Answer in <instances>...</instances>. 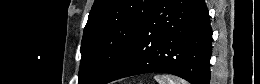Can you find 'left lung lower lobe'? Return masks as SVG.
I'll return each mask as SVG.
<instances>
[{"label":"left lung lower lobe","instance_id":"0a47b994","mask_svg":"<svg viewBox=\"0 0 260 84\" xmlns=\"http://www.w3.org/2000/svg\"><path fill=\"white\" fill-rule=\"evenodd\" d=\"M212 29L204 0H157L102 84L150 72L210 83Z\"/></svg>","mask_w":260,"mask_h":84}]
</instances>
